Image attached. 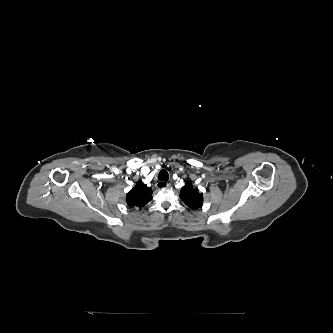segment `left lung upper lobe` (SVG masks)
<instances>
[{
	"label": "left lung upper lobe",
	"mask_w": 333,
	"mask_h": 333,
	"mask_svg": "<svg viewBox=\"0 0 333 333\" xmlns=\"http://www.w3.org/2000/svg\"><path fill=\"white\" fill-rule=\"evenodd\" d=\"M180 198L191 209H197L202 206L203 195L198 192V189L192 187L191 182H187L185 186L182 187Z\"/></svg>",
	"instance_id": "left-lung-upper-lobe-1"
}]
</instances>
